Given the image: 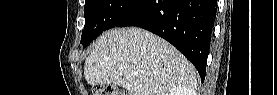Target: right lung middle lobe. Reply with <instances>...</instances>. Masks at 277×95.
<instances>
[{"label":"right lung middle lobe","instance_id":"right-lung-middle-lobe-1","mask_svg":"<svg viewBox=\"0 0 277 95\" xmlns=\"http://www.w3.org/2000/svg\"><path fill=\"white\" fill-rule=\"evenodd\" d=\"M143 0H86L81 44L87 46L103 31L115 27Z\"/></svg>","mask_w":277,"mask_h":95}]
</instances>
